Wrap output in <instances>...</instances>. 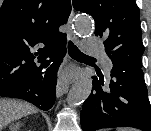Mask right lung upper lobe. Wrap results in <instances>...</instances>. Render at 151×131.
Wrapping results in <instances>:
<instances>
[{"mask_svg": "<svg viewBox=\"0 0 151 131\" xmlns=\"http://www.w3.org/2000/svg\"><path fill=\"white\" fill-rule=\"evenodd\" d=\"M70 12V0H4L0 9V91L33 75L53 48L66 42V34L58 28L67 22ZM38 45L43 48L32 53Z\"/></svg>", "mask_w": 151, "mask_h": 131, "instance_id": "right-lung-upper-lobe-1", "label": "right lung upper lobe"}]
</instances>
